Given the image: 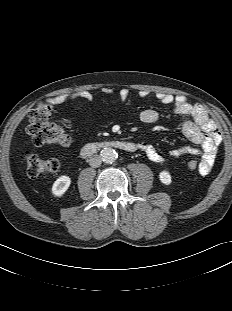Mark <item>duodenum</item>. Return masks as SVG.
I'll return each mask as SVG.
<instances>
[{
  "label": "duodenum",
  "mask_w": 232,
  "mask_h": 311,
  "mask_svg": "<svg viewBox=\"0 0 232 311\" xmlns=\"http://www.w3.org/2000/svg\"><path fill=\"white\" fill-rule=\"evenodd\" d=\"M104 148H116L125 152H134L137 150V145L128 141L103 140L84 145L81 154L83 157H90Z\"/></svg>",
  "instance_id": "410a0bca"
}]
</instances>
